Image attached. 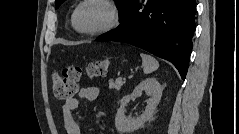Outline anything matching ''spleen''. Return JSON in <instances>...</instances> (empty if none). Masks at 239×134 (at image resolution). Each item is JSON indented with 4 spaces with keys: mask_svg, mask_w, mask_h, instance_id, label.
<instances>
[{
    "mask_svg": "<svg viewBox=\"0 0 239 134\" xmlns=\"http://www.w3.org/2000/svg\"><path fill=\"white\" fill-rule=\"evenodd\" d=\"M140 56L142 58L143 71L145 74H150L158 69L159 63L153 56L145 53H141Z\"/></svg>",
    "mask_w": 239,
    "mask_h": 134,
    "instance_id": "obj_1",
    "label": "spleen"
}]
</instances>
